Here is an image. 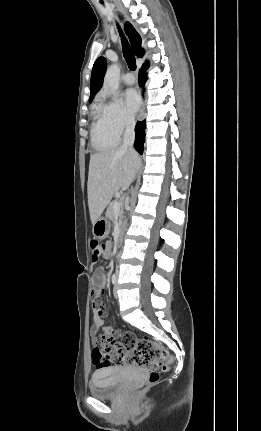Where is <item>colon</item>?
<instances>
[{
    "mask_svg": "<svg viewBox=\"0 0 261 431\" xmlns=\"http://www.w3.org/2000/svg\"><path fill=\"white\" fill-rule=\"evenodd\" d=\"M91 260L96 263L108 253L105 243L98 240L91 242ZM93 356L94 369H104L111 363L140 366L149 372L148 380L154 383L159 378V373L167 369L170 363L168 352L158 343L148 338H137L133 333L126 332L121 340L116 342L112 336H102L100 348H97Z\"/></svg>",
    "mask_w": 261,
    "mask_h": 431,
    "instance_id": "obj_1",
    "label": "colon"
}]
</instances>
